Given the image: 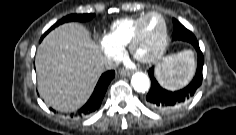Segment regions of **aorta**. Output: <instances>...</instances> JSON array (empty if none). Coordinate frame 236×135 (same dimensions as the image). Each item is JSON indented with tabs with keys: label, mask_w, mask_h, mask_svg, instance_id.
Returning a JSON list of instances; mask_svg holds the SVG:
<instances>
[{
	"label": "aorta",
	"mask_w": 236,
	"mask_h": 135,
	"mask_svg": "<svg viewBox=\"0 0 236 135\" xmlns=\"http://www.w3.org/2000/svg\"><path fill=\"white\" fill-rule=\"evenodd\" d=\"M131 84L137 92H146L150 87V80L148 76L142 72L133 74Z\"/></svg>",
	"instance_id": "obj_1"
}]
</instances>
